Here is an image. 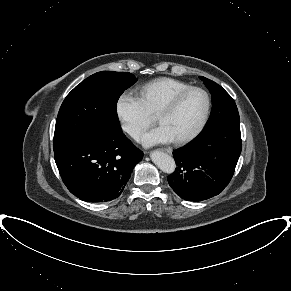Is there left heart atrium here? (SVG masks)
I'll return each instance as SVG.
<instances>
[{
  "mask_svg": "<svg viewBox=\"0 0 291 291\" xmlns=\"http://www.w3.org/2000/svg\"><path fill=\"white\" fill-rule=\"evenodd\" d=\"M172 141V137L162 126L153 129L142 138V142L145 146H152L159 143H169Z\"/></svg>",
  "mask_w": 291,
  "mask_h": 291,
  "instance_id": "left-heart-atrium-1",
  "label": "left heart atrium"
}]
</instances>
